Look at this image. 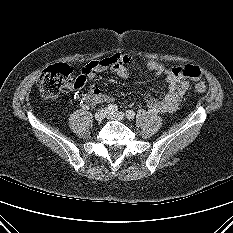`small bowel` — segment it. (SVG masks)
<instances>
[{"label": "small bowel", "mask_w": 233, "mask_h": 233, "mask_svg": "<svg viewBox=\"0 0 233 233\" xmlns=\"http://www.w3.org/2000/svg\"><path fill=\"white\" fill-rule=\"evenodd\" d=\"M133 57L128 53H115L100 60L91 61L81 71L78 78L83 80L82 84L76 82L72 85L75 89H81L86 81H95L98 75L104 71H112L123 79L129 77L127 65L130 64ZM146 68L157 76H164L167 83V93L160 98H150L147 100V106L150 110L160 113H170L177 109L183 96L188 90L190 78L175 74L178 67L167 68L157 61H149ZM194 80V79H191ZM83 99L90 105L98 103H110L113 98L103 93L98 88H93L84 93Z\"/></svg>", "instance_id": "obj_1"}]
</instances>
